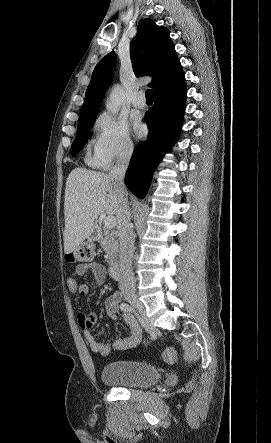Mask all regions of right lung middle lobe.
<instances>
[{
    "label": "right lung middle lobe",
    "instance_id": "1",
    "mask_svg": "<svg viewBox=\"0 0 271 443\" xmlns=\"http://www.w3.org/2000/svg\"><path fill=\"white\" fill-rule=\"evenodd\" d=\"M96 116L78 120V128L75 140L71 146V155L75 156L86 144L89 132L94 125Z\"/></svg>",
    "mask_w": 271,
    "mask_h": 443
}]
</instances>
